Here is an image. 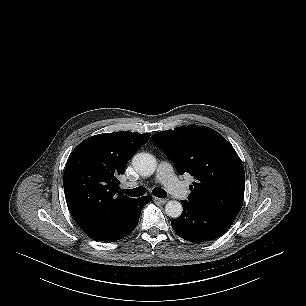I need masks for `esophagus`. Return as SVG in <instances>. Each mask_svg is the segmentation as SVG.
<instances>
[{"label":"esophagus","instance_id":"esophagus-1","mask_svg":"<svg viewBox=\"0 0 306 306\" xmlns=\"http://www.w3.org/2000/svg\"><path fill=\"white\" fill-rule=\"evenodd\" d=\"M154 201H156V202H159V203H161V204H165L167 201H168V199H163V198H158V197H154Z\"/></svg>","mask_w":306,"mask_h":306}]
</instances>
